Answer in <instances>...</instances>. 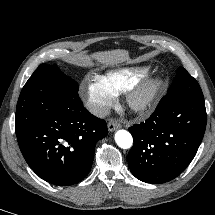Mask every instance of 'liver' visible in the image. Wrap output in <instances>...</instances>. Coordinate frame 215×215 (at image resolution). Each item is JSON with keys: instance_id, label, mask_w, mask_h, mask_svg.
Returning <instances> with one entry per match:
<instances>
[{"instance_id": "6515ba94", "label": "liver", "mask_w": 215, "mask_h": 215, "mask_svg": "<svg viewBox=\"0 0 215 215\" xmlns=\"http://www.w3.org/2000/svg\"><path fill=\"white\" fill-rule=\"evenodd\" d=\"M92 59L104 65H116L128 59V53L125 50H113L105 52H96L90 56Z\"/></svg>"}]
</instances>
